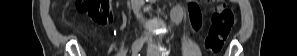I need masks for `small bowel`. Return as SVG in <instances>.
Returning a JSON list of instances; mask_svg holds the SVG:
<instances>
[{"instance_id":"c3829d8e","label":"small bowel","mask_w":297,"mask_h":56,"mask_svg":"<svg viewBox=\"0 0 297 56\" xmlns=\"http://www.w3.org/2000/svg\"><path fill=\"white\" fill-rule=\"evenodd\" d=\"M188 11L193 28L195 30H198L202 24V17L199 6L196 3L192 2L188 6Z\"/></svg>"}]
</instances>
